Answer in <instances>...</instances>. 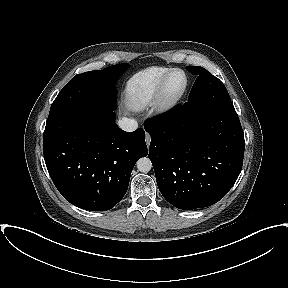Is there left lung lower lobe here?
<instances>
[{
  "instance_id": "1",
  "label": "left lung lower lobe",
  "mask_w": 288,
  "mask_h": 288,
  "mask_svg": "<svg viewBox=\"0 0 288 288\" xmlns=\"http://www.w3.org/2000/svg\"><path fill=\"white\" fill-rule=\"evenodd\" d=\"M144 128L159 190L176 208L213 205L236 182L245 149L237 113L184 103Z\"/></svg>"
}]
</instances>
